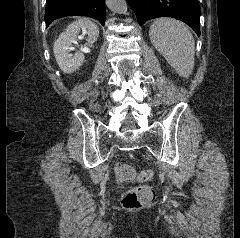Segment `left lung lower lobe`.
I'll use <instances>...</instances> for the list:
<instances>
[{"mask_svg":"<svg viewBox=\"0 0 240 238\" xmlns=\"http://www.w3.org/2000/svg\"><path fill=\"white\" fill-rule=\"evenodd\" d=\"M139 25L157 17H170L188 24L200 36L198 0H127Z\"/></svg>","mask_w":240,"mask_h":238,"instance_id":"0a47b994","label":"left lung lower lobe"}]
</instances>
